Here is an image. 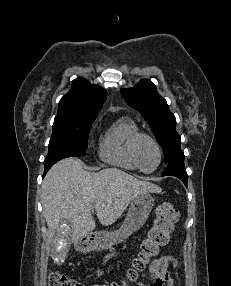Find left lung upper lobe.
<instances>
[{
  "instance_id": "1",
  "label": "left lung upper lobe",
  "mask_w": 231,
  "mask_h": 286,
  "mask_svg": "<svg viewBox=\"0 0 231 286\" xmlns=\"http://www.w3.org/2000/svg\"><path fill=\"white\" fill-rule=\"evenodd\" d=\"M121 94L128 105L137 109L149 123L163 149L165 163L179 156L182 153L181 138L175 129L176 119L166 100L157 93L156 86L143 79L134 87L121 90Z\"/></svg>"
}]
</instances>
